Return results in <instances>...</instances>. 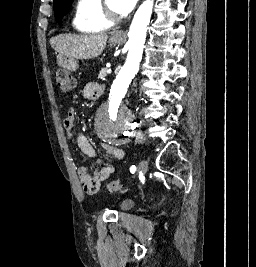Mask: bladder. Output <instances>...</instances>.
I'll return each mask as SVG.
<instances>
[{"label": "bladder", "mask_w": 256, "mask_h": 267, "mask_svg": "<svg viewBox=\"0 0 256 267\" xmlns=\"http://www.w3.org/2000/svg\"><path fill=\"white\" fill-rule=\"evenodd\" d=\"M132 206H133V203L129 201V202H126L122 205V209H128Z\"/></svg>", "instance_id": "bladder-1"}]
</instances>
